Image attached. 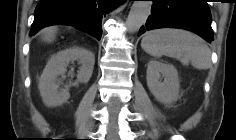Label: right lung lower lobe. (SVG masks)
<instances>
[{"mask_svg":"<svg viewBox=\"0 0 236 140\" xmlns=\"http://www.w3.org/2000/svg\"><path fill=\"white\" fill-rule=\"evenodd\" d=\"M124 0H40L30 36L56 24L75 26L97 39L102 35V18Z\"/></svg>","mask_w":236,"mask_h":140,"instance_id":"obj_1","label":"right lung lower lobe"}]
</instances>
